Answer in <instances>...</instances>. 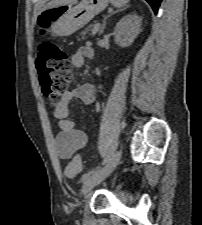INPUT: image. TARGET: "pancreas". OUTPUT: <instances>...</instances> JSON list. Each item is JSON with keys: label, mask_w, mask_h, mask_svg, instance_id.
I'll use <instances>...</instances> for the list:
<instances>
[{"label": "pancreas", "mask_w": 202, "mask_h": 225, "mask_svg": "<svg viewBox=\"0 0 202 225\" xmlns=\"http://www.w3.org/2000/svg\"><path fill=\"white\" fill-rule=\"evenodd\" d=\"M94 26L93 25H90L88 28L85 29V31L83 33H86L88 32L90 29H92Z\"/></svg>", "instance_id": "obj_1"}]
</instances>
